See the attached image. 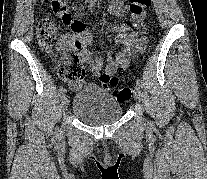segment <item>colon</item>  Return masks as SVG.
Returning a JSON list of instances; mask_svg holds the SVG:
<instances>
[{
	"label": "colon",
	"instance_id": "5ec220e1",
	"mask_svg": "<svg viewBox=\"0 0 207 179\" xmlns=\"http://www.w3.org/2000/svg\"><path fill=\"white\" fill-rule=\"evenodd\" d=\"M50 2L51 13H62L69 15V7L67 0H48ZM151 4V0H131L129 10L133 16L139 17L143 15ZM70 20V16H69ZM141 21H135L132 23L134 28L141 26ZM56 25L52 20L50 14L40 19L37 26V38L40 45L44 49H50L56 35ZM140 42V45L146 41V36H139L135 38ZM72 50H66L64 54L57 61V73L58 76L65 82L78 84L85 77V68L82 65L78 55L73 50L74 47L70 46ZM101 83L104 87L110 90V92L121 102L128 101L131 97L132 91L129 87H119L118 78L116 76H109L106 73L101 76Z\"/></svg>",
	"mask_w": 207,
	"mask_h": 179
}]
</instances>
